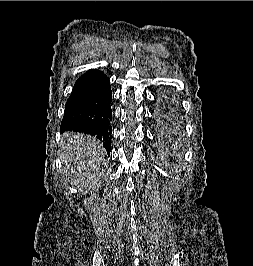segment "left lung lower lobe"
Returning a JSON list of instances; mask_svg holds the SVG:
<instances>
[{"label":"left lung lower lobe","mask_w":253,"mask_h":266,"mask_svg":"<svg viewBox=\"0 0 253 266\" xmlns=\"http://www.w3.org/2000/svg\"><path fill=\"white\" fill-rule=\"evenodd\" d=\"M172 114L169 112H163L158 117V122L163 126H169L171 124Z\"/></svg>","instance_id":"0a47b994"}]
</instances>
